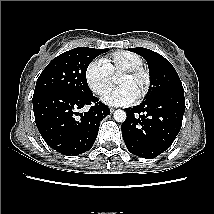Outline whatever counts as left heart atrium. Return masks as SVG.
Returning <instances> with one entry per match:
<instances>
[{
    "label": "left heart atrium",
    "mask_w": 214,
    "mask_h": 214,
    "mask_svg": "<svg viewBox=\"0 0 214 214\" xmlns=\"http://www.w3.org/2000/svg\"><path fill=\"white\" fill-rule=\"evenodd\" d=\"M138 98V94L130 87L120 86L105 94L103 101L111 106H125L132 104Z\"/></svg>",
    "instance_id": "left-heart-atrium-1"
}]
</instances>
